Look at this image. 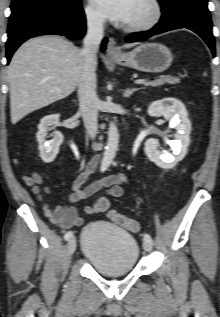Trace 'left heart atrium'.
I'll return each mask as SVG.
<instances>
[{
  "label": "left heart atrium",
  "instance_id": "left-heart-atrium-1",
  "mask_svg": "<svg viewBox=\"0 0 220 317\" xmlns=\"http://www.w3.org/2000/svg\"><path fill=\"white\" fill-rule=\"evenodd\" d=\"M94 5L106 18L126 24L134 0H92Z\"/></svg>",
  "mask_w": 220,
  "mask_h": 317
}]
</instances>
